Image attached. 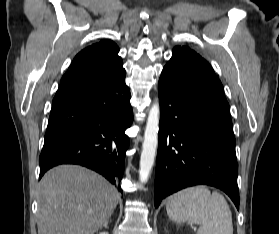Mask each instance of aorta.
Listing matches in <instances>:
<instances>
[{"label": "aorta", "mask_w": 279, "mask_h": 234, "mask_svg": "<svg viewBox=\"0 0 279 234\" xmlns=\"http://www.w3.org/2000/svg\"><path fill=\"white\" fill-rule=\"evenodd\" d=\"M159 119L160 105L159 102L156 101L149 111L144 132V141L142 144L139 166V179L142 183L147 182L154 166L158 147Z\"/></svg>", "instance_id": "aorta-1"}]
</instances>
